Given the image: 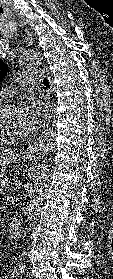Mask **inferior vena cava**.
I'll list each match as a JSON object with an SVG mask.
<instances>
[{"label":"inferior vena cava","mask_w":113,"mask_h":279,"mask_svg":"<svg viewBox=\"0 0 113 279\" xmlns=\"http://www.w3.org/2000/svg\"><path fill=\"white\" fill-rule=\"evenodd\" d=\"M25 252H22L21 256H20V262L18 263V267L21 271H23L25 269Z\"/></svg>","instance_id":"inferior-vena-cava-1"}]
</instances>
